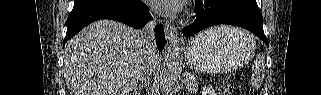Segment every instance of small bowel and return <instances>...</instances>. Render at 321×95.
Masks as SVG:
<instances>
[{
    "label": "small bowel",
    "mask_w": 321,
    "mask_h": 95,
    "mask_svg": "<svg viewBox=\"0 0 321 95\" xmlns=\"http://www.w3.org/2000/svg\"><path fill=\"white\" fill-rule=\"evenodd\" d=\"M205 94H207V95H212L213 94V92L210 90V89H206L205 90Z\"/></svg>",
    "instance_id": "obj_1"
}]
</instances>
